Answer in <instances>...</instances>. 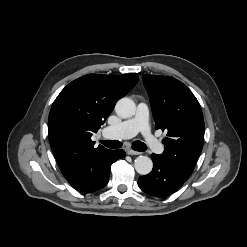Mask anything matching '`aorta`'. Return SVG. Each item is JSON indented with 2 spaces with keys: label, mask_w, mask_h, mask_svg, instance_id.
I'll use <instances>...</instances> for the list:
<instances>
[{
  "label": "aorta",
  "mask_w": 247,
  "mask_h": 247,
  "mask_svg": "<svg viewBox=\"0 0 247 247\" xmlns=\"http://www.w3.org/2000/svg\"><path fill=\"white\" fill-rule=\"evenodd\" d=\"M136 104L130 98L123 97L115 105V112L121 118H130L135 114ZM134 167L137 173L147 175L152 171L153 162L147 156H138L134 161Z\"/></svg>",
  "instance_id": "762f6f07"
}]
</instances>
